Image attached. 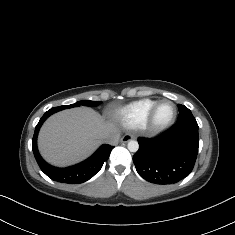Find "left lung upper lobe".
Masks as SVG:
<instances>
[{
	"label": "left lung upper lobe",
	"mask_w": 235,
	"mask_h": 235,
	"mask_svg": "<svg viewBox=\"0 0 235 235\" xmlns=\"http://www.w3.org/2000/svg\"><path fill=\"white\" fill-rule=\"evenodd\" d=\"M179 116L176 124L198 125L191 111L184 105L178 104Z\"/></svg>",
	"instance_id": "obj_1"
}]
</instances>
